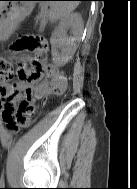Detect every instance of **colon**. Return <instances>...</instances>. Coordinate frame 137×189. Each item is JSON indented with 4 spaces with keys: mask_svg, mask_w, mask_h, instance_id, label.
Listing matches in <instances>:
<instances>
[{
    "mask_svg": "<svg viewBox=\"0 0 137 189\" xmlns=\"http://www.w3.org/2000/svg\"><path fill=\"white\" fill-rule=\"evenodd\" d=\"M12 50L14 51H29L34 52L37 56L33 60V67L31 71L30 78H35L39 74V59L38 56L41 55L45 51V45L43 40L39 36H23L19 38L12 44ZM12 72L11 63L4 59L0 58V92H3L5 89V85L10 79ZM51 72V71H50ZM33 113V109L29 106L28 103H22L20 106V116L22 113Z\"/></svg>",
    "mask_w": 137,
    "mask_h": 189,
    "instance_id": "obj_1",
    "label": "colon"
}]
</instances>
